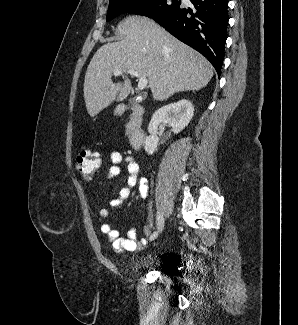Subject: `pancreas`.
<instances>
[{
	"instance_id": "1",
	"label": "pancreas",
	"mask_w": 298,
	"mask_h": 325,
	"mask_svg": "<svg viewBox=\"0 0 298 325\" xmlns=\"http://www.w3.org/2000/svg\"><path fill=\"white\" fill-rule=\"evenodd\" d=\"M128 132H129V130H128V128H126V134H128Z\"/></svg>"
}]
</instances>
